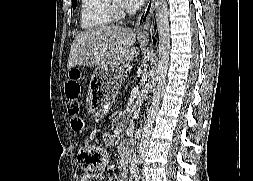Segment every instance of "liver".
I'll use <instances>...</instances> for the list:
<instances>
[{
	"instance_id": "6515ba94",
	"label": "liver",
	"mask_w": 253,
	"mask_h": 181,
	"mask_svg": "<svg viewBox=\"0 0 253 181\" xmlns=\"http://www.w3.org/2000/svg\"><path fill=\"white\" fill-rule=\"evenodd\" d=\"M136 34L120 26L89 28L75 36L67 68L78 66H120L138 56Z\"/></svg>"
}]
</instances>
